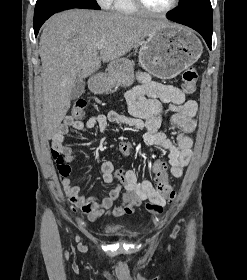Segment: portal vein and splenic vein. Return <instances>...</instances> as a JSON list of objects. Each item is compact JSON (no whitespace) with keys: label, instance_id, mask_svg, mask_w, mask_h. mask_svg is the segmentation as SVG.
<instances>
[{"label":"portal vein and splenic vein","instance_id":"obj_1","mask_svg":"<svg viewBox=\"0 0 247 280\" xmlns=\"http://www.w3.org/2000/svg\"><path fill=\"white\" fill-rule=\"evenodd\" d=\"M96 48H97L98 50H101V49L103 48V43H98V44H96Z\"/></svg>","mask_w":247,"mask_h":280}]
</instances>
